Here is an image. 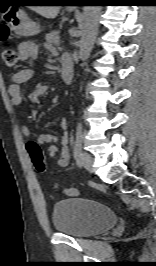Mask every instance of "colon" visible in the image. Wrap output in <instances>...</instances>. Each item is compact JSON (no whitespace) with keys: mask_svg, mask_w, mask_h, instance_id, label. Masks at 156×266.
<instances>
[{"mask_svg":"<svg viewBox=\"0 0 156 266\" xmlns=\"http://www.w3.org/2000/svg\"><path fill=\"white\" fill-rule=\"evenodd\" d=\"M8 32L9 30L7 26L1 27L0 35L2 38L7 37ZM2 58L7 67L13 68L17 63L18 53L12 48H7L3 51ZM26 148L30 155L31 161L34 167L37 169V171L45 172L46 162L40 146L36 142H29L27 143Z\"/></svg>","mask_w":156,"mask_h":266,"instance_id":"obj_1","label":"colon"}]
</instances>
